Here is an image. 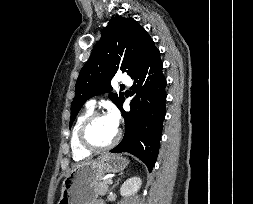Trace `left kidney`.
Returning <instances> with one entry per match:
<instances>
[{
  "instance_id": "left-kidney-1",
  "label": "left kidney",
  "mask_w": 253,
  "mask_h": 204,
  "mask_svg": "<svg viewBox=\"0 0 253 204\" xmlns=\"http://www.w3.org/2000/svg\"><path fill=\"white\" fill-rule=\"evenodd\" d=\"M141 185L142 181L140 177H132L122 184L120 194L123 197L134 195L140 189Z\"/></svg>"
}]
</instances>
